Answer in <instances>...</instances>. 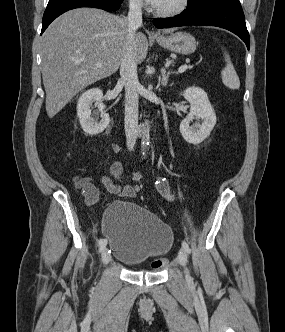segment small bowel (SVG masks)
<instances>
[{"label":"small bowel","mask_w":285,"mask_h":332,"mask_svg":"<svg viewBox=\"0 0 285 332\" xmlns=\"http://www.w3.org/2000/svg\"><path fill=\"white\" fill-rule=\"evenodd\" d=\"M123 165L120 161H114L110 166V174L119 183H114L110 177L102 175L100 180L107 191L111 194L119 195L122 197L131 198L136 194L135 189L130 186H122L120 182L122 181ZM73 183L75 188L81 190L84 194L85 200L88 204H94L97 202L99 197V192L97 187L93 184V176H74ZM159 193L168 200H172L173 195L171 193L170 187L166 180L160 179L156 184Z\"/></svg>","instance_id":"small-bowel-1"}]
</instances>
